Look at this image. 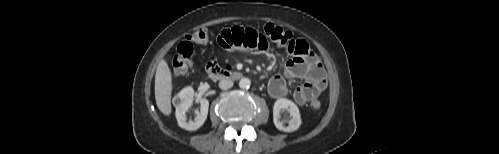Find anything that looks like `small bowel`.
<instances>
[{
	"instance_id": "obj_1",
	"label": "small bowel",
	"mask_w": 499,
	"mask_h": 154,
	"mask_svg": "<svg viewBox=\"0 0 499 154\" xmlns=\"http://www.w3.org/2000/svg\"><path fill=\"white\" fill-rule=\"evenodd\" d=\"M218 44L225 50H259L267 51L273 48L272 41L264 34L252 28L232 27L223 30L218 38ZM290 58L286 62L282 75L273 76L268 82V91L275 99L284 98L288 94V80L303 79L304 83L293 92V99L303 106L317 99L327 88L328 82L324 68L319 58L312 52L305 40L291 39L283 45Z\"/></svg>"
}]
</instances>
